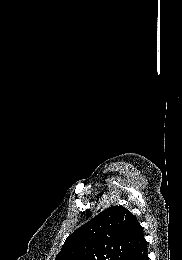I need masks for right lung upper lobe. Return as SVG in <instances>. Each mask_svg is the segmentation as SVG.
I'll return each mask as SVG.
<instances>
[{
  "mask_svg": "<svg viewBox=\"0 0 182 260\" xmlns=\"http://www.w3.org/2000/svg\"><path fill=\"white\" fill-rule=\"evenodd\" d=\"M146 243L137 218L116 205L73 232L55 260H126Z\"/></svg>",
  "mask_w": 182,
  "mask_h": 260,
  "instance_id": "cb5924a9",
  "label": "right lung upper lobe"
}]
</instances>
